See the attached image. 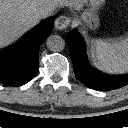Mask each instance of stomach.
Here are the masks:
<instances>
[{"mask_svg":"<svg viewBox=\"0 0 128 128\" xmlns=\"http://www.w3.org/2000/svg\"><path fill=\"white\" fill-rule=\"evenodd\" d=\"M104 3V0H85L87 9L82 13L79 22L85 28L96 29L99 27L100 20L97 15V10Z\"/></svg>","mask_w":128,"mask_h":128,"instance_id":"1","label":"stomach"}]
</instances>
